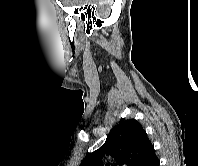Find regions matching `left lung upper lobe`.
<instances>
[{"instance_id": "1", "label": "left lung upper lobe", "mask_w": 198, "mask_h": 166, "mask_svg": "<svg viewBox=\"0 0 198 166\" xmlns=\"http://www.w3.org/2000/svg\"><path fill=\"white\" fill-rule=\"evenodd\" d=\"M106 153L114 156L115 166H147L155 150L142 126L136 120L129 119L116 125L105 143L88 154L80 166H102L101 159Z\"/></svg>"}]
</instances>
